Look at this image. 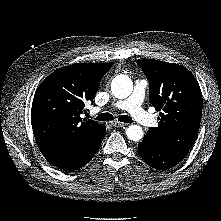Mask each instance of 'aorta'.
Here are the masks:
<instances>
[{"label": "aorta", "mask_w": 221, "mask_h": 221, "mask_svg": "<svg viewBox=\"0 0 221 221\" xmlns=\"http://www.w3.org/2000/svg\"><path fill=\"white\" fill-rule=\"evenodd\" d=\"M111 90L115 97L124 99L132 93L133 83L128 76L119 75L113 80ZM126 135L132 141H139L143 137V130L140 126L131 125L126 129Z\"/></svg>", "instance_id": "aorta-1"}]
</instances>
